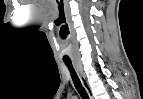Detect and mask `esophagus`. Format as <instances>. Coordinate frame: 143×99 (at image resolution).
I'll list each match as a JSON object with an SVG mask.
<instances>
[{
	"instance_id": "1",
	"label": "esophagus",
	"mask_w": 143,
	"mask_h": 99,
	"mask_svg": "<svg viewBox=\"0 0 143 99\" xmlns=\"http://www.w3.org/2000/svg\"><path fill=\"white\" fill-rule=\"evenodd\" d=\"M77 66V70H78V75H79V79L83 85V87L85 88V90L87 91L88 93V96L90 99H93V96H92V92H91V89H90V86L85 78V75L84 73L82 72V70L79 68V66L76 64Z\"/></svg>"
}]
</instances>
